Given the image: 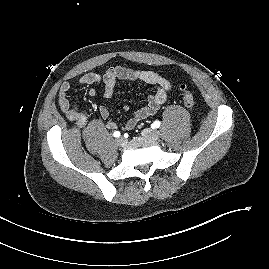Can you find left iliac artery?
<instances>
[{
    "label": "left iliac artery",
    "mask_w": 269,
    "mask_h": 269,
    "mask_svg": "<svg viewBox=\"0 0 269 269\" xmlns=\"http://www.w3.org/2000/svg\"><path fill=\"white\" fill-rule=\"evenodd\" d=\"M160 121L156 120L154 123H153V127L154 128H158L160 126Z\"/></svg>",
    "instance_id": "left-iliac-artery-1"
}]
</instances>
